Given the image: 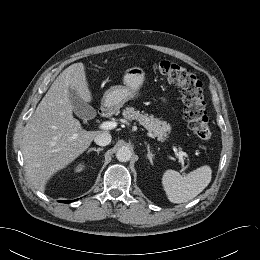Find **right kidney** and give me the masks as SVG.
<instances>
[{
	"instance_id": "1",
	"label": "right kidney",
	"mask_w": 260,
	"mask_h": 260,
	"mask_svg": "<svg viewBox=\"0 0 260 260\" xmlns=\"http://www.w3.org/2000/svg\"><path fill=\"white\" fill-rule=\"evenodd\" d=\"M84 164H79L75 167V172H81L84 169Z\"/></svg>"
}]
</instances>
